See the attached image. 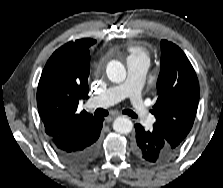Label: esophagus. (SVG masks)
Listing matches in <instances>:
<instances>
[{"label":"esophagus","instance_id":"1","mask_svg":"<svg viewBox=\"0 0 223 188\" xmlns=\"http://www.w3.org/2000/svg\"><path fill=\"white\" fill-rule=\"evenodd\" d=\"M117 116H119V114H116V115H114V116H110V117L106 118V121H107V122H111V121H113L114 118L117 117Z\"/></svg>","mask_w":223,"mask_h":188}]
</instances>
